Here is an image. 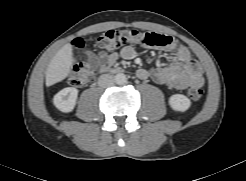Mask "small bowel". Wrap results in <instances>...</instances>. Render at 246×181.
Segmentation results:
<instances>
[{
	"label": "small bowel",
	"instance_id": "1",
	"mask_svg": "<svg viewBox=\"0 0 246 181\" xmlns=\"http://www.w3.org/2000/svg\"><path fill=\"white\" fill-rule=\"evenodd\" d=\"M167 51L173 57V62L170 65L161 68L139 69L137 76L140 79H152L158 84L178 90L185 89L189 85H204L202 67L200 63L191 56L186 47L177 42L176 46L167 48ZM135 54L136 52L131 46H125L120 51V56L126 60L134 58ZM89 56L93 64L104 69L114 64L119 54L99 52L97 54L90 53Z\"/></svg>",
	"mask_w": 246,
	"mask_h": 181
}]
</instances>
